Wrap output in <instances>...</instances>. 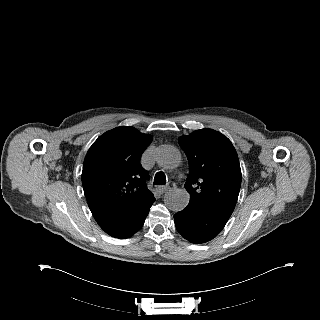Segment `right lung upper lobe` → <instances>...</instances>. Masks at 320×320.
I'll use <instances>...</instances> for the list:
<instances>
[{"label":"right lung upper lobe","instance_id":"obj_1","mask_svg":"<svg viewBox=\"0 0 320 320\" xmlns=\"http://www.w3.org/2000/svg\"><path fill=\"white\" fill-rule=\"evenodd\" d=\"M152 136L130 126L101 135L90 147L83 165L82 184L97 223L136 212L154 202L146 187L148 173L140 158Z\"/></svg>","mask_w":320,"mask_h":320}]
</instances>
